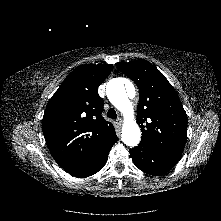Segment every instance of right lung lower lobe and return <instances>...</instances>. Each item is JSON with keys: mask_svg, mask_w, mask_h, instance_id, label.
<instances>
[{"mask_svg": "<svg viewBox=\"0 0 221 221\" xmlns=\"http://www.w3.org/2000/svg\"><path fill=\"white\" fill-rule=\"evenodd\" d=\"M116 141L117 138L105 145L86 162L75 167L66 169V171L76 177H88L95 174L96 172L101 170L107 162L108 153Z\"/></svg>", "mask_w": 221, "mask_h": 221, "instance_id": "1", "label": "right lung lower lobe"}]
</instances>
